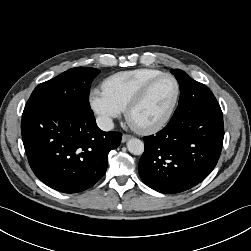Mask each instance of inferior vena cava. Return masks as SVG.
Listing matches in <instances>:
<instances>
[{
	"label": "inferior vena cava",
	"instance_id": "obj_1",
	"mask_svg": "<svg viewBox=\"0 0 251 251\" xmlns=\"http://www.w3.org/2000/svg\"><path fill=\"white\" fill-rule=\"evenodd\" d=\"M98 127L103 131H110L114 128L113 120L106 116H99L96 119Z\"/></svg>",
	"mask_w": 251,
	"mask_h": 251
}]
</instances>
